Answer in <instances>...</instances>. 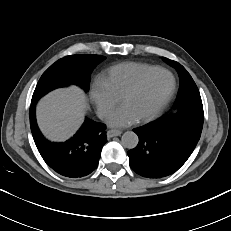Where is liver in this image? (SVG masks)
Wrapping results in <instances>:
<instances>
[{
  "instance_id": "1",
  "label": "liver",
  "mask_w": 231,
  "mask_h": 231,
  "mask_svg": "<svg viewBox=\"0 0 231 231\" xmlns=\"http://www.w3.org/2000/svg\"><path fill=\"white\" fill-rule=\"evenodd\" d=\"M86 98L72 86L52 91L37 104V121L43 134L52 141H65L84 120Z\"/></svg>"
}]
</instances>
